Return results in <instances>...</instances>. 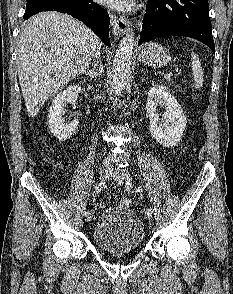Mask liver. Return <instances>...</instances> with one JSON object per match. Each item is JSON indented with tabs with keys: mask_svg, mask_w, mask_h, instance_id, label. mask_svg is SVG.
Instances as JSON below:
<instances>
[{
	"mask_svg": "<svg viewBox=\"0 0 233 294\" xmlns=\"http://www.w3.org/2000/svg\"><path fill=\"white\" fill-rule=\"evenodd\" d=\"M101 41L83 23L57 12L31 17L17 53L18 76L28 115L36 117L48 98L84 73L100 55Z\"/></svg>",
	"mask_w": 233,
	"mask_h": 294,
	"instance_id": "liver-1",
	"label": "liver"
}]
</instances>
